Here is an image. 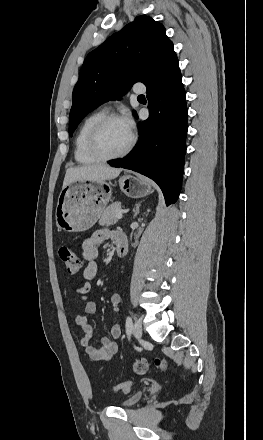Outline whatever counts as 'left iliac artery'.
Wrapping results in <instances>:
<instances>
[{
	"label": "left iliac artery",
	"instance_id": "left-iliac-artery-1",
	"mask_svg": "<svg viewBox=\"0 0 263 440\" xmlns=\"http://www.w3.org/2000/svg\"><path fill=\"white\" fill-rule=\"evenodd\" d=\"M132 326H133L132 319H131L130 316H128V317L126 318V324H125V328H126V333H127V335H130V334H131Z\"/></svg>",
	"mask_w": 263,
	"mask_h": 440
}]
</instances>
